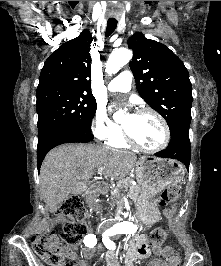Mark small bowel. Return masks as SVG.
I'll use <instances>...</instances> for the list:
<instances>
[{
	"instance_id": "1",
	"label": "small bowel",
	"mask_w": 221,
	"mask_h": 266,
	"mask_svg": "<svg viewBox=\"0 0 221 266\" xmlns=\"http://www.w3.org/2000/svg\"><path fill=\"white\" fill-rule=\"evenodd\" d=\"M59 221H64L63 217L58 218ZM173 251L170 246L157 247L153 249L156 254V258L152 259L148 266H168L167 261L169 253ZM150 250L146 243V238L144 234L138 233L132 236L131 241L127 245L124 263L125 266H134L137 259L145 258L149 255ZM66 256L73 260L74 266H87L86 263L79 259L77 255L69 250L65 252ZM98 254V249H87L84 251V258L91 259ZM105 262L107 266H121L116 253L108 251L105 253Z\"/></svg>"
}]
</instances>
